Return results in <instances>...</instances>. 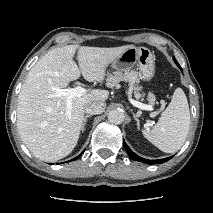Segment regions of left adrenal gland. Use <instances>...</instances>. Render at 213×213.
Masks as SVG:
<instances>
[{
  "instance_id": "left-adrenal-gland-1",
  "label": "left adrenal gland",
  "mask_w": 213,
  "mask_h": 213,
  "mask_svg": "<svg viewBox=\"0 0 213 213\" xmlns=\"http://www.w3.org/2000/svg\"><path fill=\"white\" fill-rule=\"evenodd\" d=\"M138 117H139V115L137 114H134V118H135V120H136V123H137V127H138V129L140 128V124H139V119H138Z\"/></svg>"
}]
</instances>
